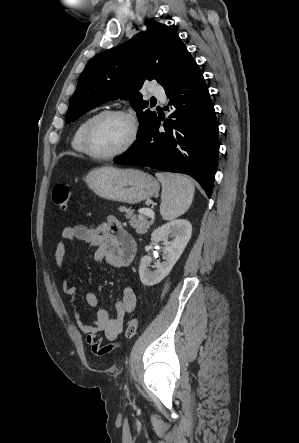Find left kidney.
<instances>
[{"mask_svg": "<svg viewBox=\"0 0 299 443\" xmlns=\"http://www.w3.org/2000/svg\"><path fill=\"white\" fill-rule=\"evenodd\" d=\"M191 234L192 226L190 222L185 219L171 221L153 231L151 241L162 242L164 245V261H156L153 266L155 269L150 271L149 267L152 262V257L143 256L141 258L139 276L144 285H155L170 273L187 246Z\"/></svg>", "mask_w": 299, "mask_h": 443, "instance_id": "left-kidney-1", "label": "left kidney"}]
</instances>
